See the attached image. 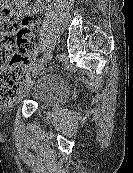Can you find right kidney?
<instances>
[{"label": "right kidney", "mask_w": 133, "mask_h": 173, "mask_svg": "<svg viewBox=\"0 0 133 173\" xmlns=\"http://www.w3.org/2000/svg\"><path fill=\"white\" fill-rule=\"evenodd\" d=\"M20 6H23L25 8V4L27 3V0H19Z\"/></svg>", "instance_id": "right-kidney-1"}]
</instances>
